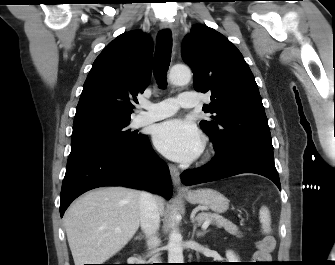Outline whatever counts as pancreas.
I'll return each instance as SVG.
<instances>
[{
  "label": "pancreas",
  "mask_w": 335,
  "mask_h": 265,
  "mask_svg": "<svg viewBox=\"0 0 335 265\" xmlns=\"http://www.w3.org/2000/svg\"><path fill=\"white\" fill-rule=\"evenodd\" d=\"M211 220L214 224H216L219 228L223 227L228 233L232 235L239 236V229L238 227L233 224L231 221L227 220L226 218L215 214V213H200L197 216V220L199 222H204L206 220Z\"/></svg>",
  "instance_id": "obj_1"
}]
</instances>
